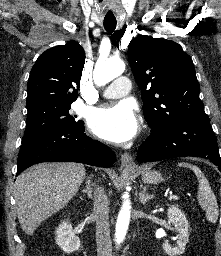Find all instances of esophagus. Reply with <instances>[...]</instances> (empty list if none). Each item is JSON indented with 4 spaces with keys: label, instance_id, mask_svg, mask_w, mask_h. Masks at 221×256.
Wrapping results in <instances>:
<instances>
[{
    "label": "esophagus",
    "instance_id": "obj_1",
    "mask_svg": "<svg viewBox=\"0 0 221 256\" xmlns=\"http://www.w3.org/2000/svg\"><path fill=\"white\" fill-rule=\"evenodd\" d=\"M120 160H121V165L125 168H134L135 167L133 158L129 153H123L121 155Z\"/></svg>",
    "mask_w": 221,
    "mask_h": 256
}]
</instances>
